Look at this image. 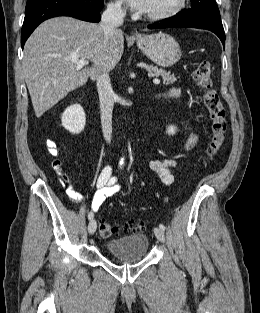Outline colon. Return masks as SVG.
<instances>
[{"label": "colon", "mask_w": 260, "mask_h": 313, "mask_svg": "<svg viewBox=\"0 0 260 313\" xmlns=\"http://www.w3.org/2000/svg\"><path fill=\"white\" fill-rule=\"evenodd\" d=\"M192 77L197 85L203 91V101L208 110L210 118L211 137L207 148V154L210 158L216 156L224 142L227 131L226 110L223 106L217 90L213 86L211 77V65L208 61H200L193 70ZM56 147L50 144V150ZM145 229V225L141 222H127L122 231L125 233L139 232ZM120 229L106 222L99 225V234L103 238L117 236Z\"/></svg>", "instance_id": "obj_1"}]
</instances>
